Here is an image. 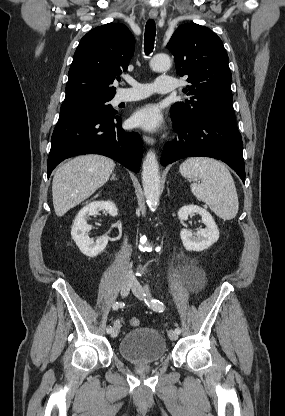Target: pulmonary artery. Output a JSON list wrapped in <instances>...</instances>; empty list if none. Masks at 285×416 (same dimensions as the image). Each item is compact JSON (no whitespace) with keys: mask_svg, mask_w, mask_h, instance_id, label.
Instances as JSON below:
<instances>
[{"mask_svg":"<svg viewBox=\"0 0 285 416\" xmlns=\"http://www.w3.org/2000/svg\"><path fill=\"white\" fill-rule=\"evenodd\" d=\"M131 87H122L115 95L112 103L118 105L123 102H130L147 97L148 95H156L158 93H167L180 85V81L171 76L160 75L156 78L154 88H136L143 86L139 82L129 80Z\"/></svg>","mask_w":285,"mask_h":416,"instance_id":"obj_1","label":"pulmonary artery"}]
</instances>
